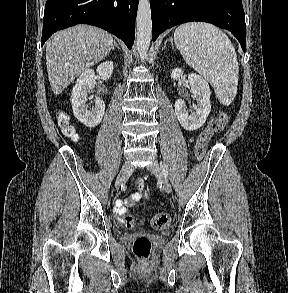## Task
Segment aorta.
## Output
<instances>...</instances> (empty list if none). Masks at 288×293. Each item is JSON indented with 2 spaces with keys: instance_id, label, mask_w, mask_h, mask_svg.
I'll list each match as a JSON object with an SVG mask.
<instances>
[{
  "instance_id": "1",
  "label": "aorta",
  "mask_w": 288,
  "mask_h": 293,
  "mask_svg": "<svg viewBox=\"0 0 288 293\" xmlns=\"http://www.w3.org/2000/svg\"><path fill=\"white\" fill-rule=\"evenodd\" d=\"M136 48L141 60L146 59L152 38V20L149 0H140L136 17Z\"/></svg>"
}]
</instances>
